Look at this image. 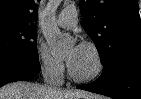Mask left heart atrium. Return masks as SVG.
<instances>
[{
    "label": "left heart atrium",
    "instance_id": "obj_1",
    "mask_svg": "<svg viewBox=\"0 0 141 99\" xmlns=\"http://www.w3.org/2000/svg\"><path fill=\"white\" fill-rule=\"evenodd\" d=\"M81 45H75L73 47V49L70 52V55L68 57V63L69 65L72 64L74 62V60L76 59V57L78 56L80 50H81Z\"/></svg>",
    "mask_w": 141,
    "mask_h": 99
}]
</instances>
